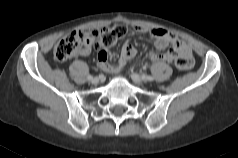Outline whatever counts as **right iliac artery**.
I'll return each mask as SVG.
<instances>
[{"label": "right iliac artery", "instance_id": "right-iliac-artery-1", "mask_svg": "<svg viewBox=\"0 0 238 158\" xmlns=\"http://www.w3.org/2000/svg\"><path fill=\"white\" fill-rule=\"evenodd\" d=\"M88 80H92L93 79V76H91V75H88Z\"/></svg>", "mask_w": 238, "mask_h": 158}]
</instances>
